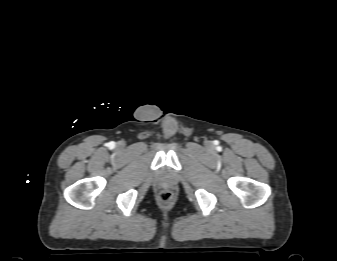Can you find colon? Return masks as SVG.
<instances>
[{"label": "colon", "mask_w": 337, "mask_h": 261, "mask_svg": "<svg viewBox=\"0 0 337 261\" xmlns=\"http://www.w3.org/2000/svg\"><path fill=\"white\" fill-rule=\"evenodd\" d=\"M159 199L162 203L168 204L172 201L173 199V194L169 190H163L159 194Z\"/></svg>", "instance_id": "1"}]
</instances>
